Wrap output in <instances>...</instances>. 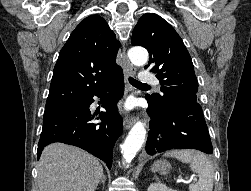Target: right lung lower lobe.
Instances as JSON below:
<instances>
[{
  "label": "right lung lower lobe",
  "mask_w": 251,
  "mask_h": 191,
  "mask_svg": "<svg viewBox=\"0 0 251 191\" xmlns=\"http://www.w3.org/2000/svg\"><path fill=\"white\" fill-rule=\"evenodd\" d=\"M123 92L124 79L120 76L107 87L81 101L79 107L44 117L37 150L38 159L45 146L62 142L88 151L105 161L110 169L113 146L123 131L122 119L116 106ZM93 96L103 99V107L107 110L99 113V117L103 119L101 123L90 122L94 119L89 110L90 104L94 101Z\"/></svg>",
  "instance_id": "1"
}]
</instances>
